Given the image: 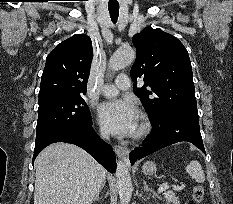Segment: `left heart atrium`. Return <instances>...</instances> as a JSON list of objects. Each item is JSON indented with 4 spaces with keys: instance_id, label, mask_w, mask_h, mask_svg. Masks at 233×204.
<instances>
[{
    "instance_id": "left-heart-atrium-1",
    "label": "left heart atrium",
    "mask_w": 233,
    "mask_h": 204,
    "mask_svg": "<svg viewBox=\"0 0 233 204\" xmlns=\"http://www.w3.org/2000/svg\"><path fill=\"white\" fill-rule=\"evenodd\" d=\"M98 119L106 131L124 137L134 133L138 115L131 101L110 100L99 106Z\"/></svg>"
}]
</instances>
